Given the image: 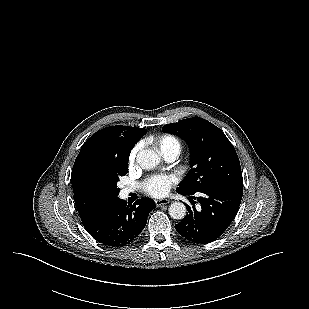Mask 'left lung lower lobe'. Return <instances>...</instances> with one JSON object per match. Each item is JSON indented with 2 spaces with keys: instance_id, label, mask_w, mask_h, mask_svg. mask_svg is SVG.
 <instances>
[{
  "instance_id": "1",
  "label": "left lung lower lobe",
  "mask_w": 309,
  "mask_h": 309,
  "mask_svg": "<svg viewBox=\"0 0 309 309\" xmlns=\"http://www.w3.org/2000/svg\"><path fill=\"white\" fill-rule=\"evenodd\" d=\"M194 198V194L180 193ZM201 211L187 206L188 214L175 229L190 242L205 244L220 237L234 219L243 195V187L225 186L196 193Z\"/></svg>"
}]
</instances>
